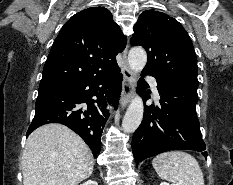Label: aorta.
Returning a JSON list of instances; mask_svg holds the SVG:
<instances>
[{"label": "aorta", "mask_w": 233, "mask_h": 185, "mask_svg": "<svg viewBox=\"0 0 233 185\" xmlns=\"http://www.w3.org/2000/svg\"><path fill=\"white\" fill-rule=\"evenodd\" d=\"M147 62L146 51L142 47H133L128 54V64L134 73L141 72ZM144 113L143 100L140 96L133 97L122 121V130L133 133L141 124Z\"/></svg>", "instance_id": "1"}]
</instances>
